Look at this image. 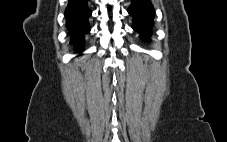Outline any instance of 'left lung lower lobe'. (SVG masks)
Returning <instances> with one entry per match:
<instances>
[{
  "instance_id": "left-lung-lower-lobe-1",
  "label": "left lung lower lobe",
  "mask_w": 227,
  "mask_h": 142,
  "mask_svg": "<svg viewBox=\"0 0 227 142\" xmlns=\"http://www.w3.org/2000/svg\"><path fill=\"white\" fill-rule=\"evenodd\" d=\"M127 11L133 17V29L141 35L142 39H148L155 14L150 0H131Z\"/></svg>"
}]
</instances>
